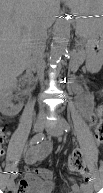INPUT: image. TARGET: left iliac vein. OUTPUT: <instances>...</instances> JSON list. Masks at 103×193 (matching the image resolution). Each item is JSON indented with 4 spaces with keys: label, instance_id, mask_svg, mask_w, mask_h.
Instances as JSON below:
<instances>
[{
    "label": "left iliac vein",
    "instance_id": "obj_1",
    "mask_svg": "<svg viewBox=\"0 0 103 193\" xmlns=\"http://www.w3.org/2000/svg\"><path fill=\"white\" fill-rule=\"evenodd\" d=\"M63 131H64L63 126L60 124H57V125L50 127V128H47V132L55 137H60L63 134ZM88 188H89L90 193H91L92 185H88Z\"/></svg>",
    "mask_w": 103,
    "mask_h": 193
}]
</instances>
